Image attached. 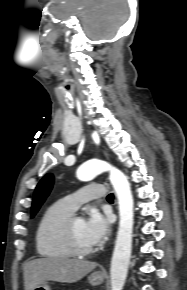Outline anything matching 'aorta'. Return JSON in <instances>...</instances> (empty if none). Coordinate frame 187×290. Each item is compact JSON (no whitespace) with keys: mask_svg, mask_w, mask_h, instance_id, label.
<instances>
[{"mask_svg":"<svg viewBox=\"0 0 187 290\" xmlns=\"http://www.w3.org/2000/svg\"><path fill=\"white\" fill-rule=\"evenodd\" d=\"M105 170L110 171V181L119 205V228L110 267L111 290H122L131 257L134 224V202L129 182L121 171L100 160L84 163L77 170V177L81 181H91Z\"/></svg>","mask_w":187,"mask_h":290,"instance_id":"aorta-1","label":"aorta"}]
</instances>
